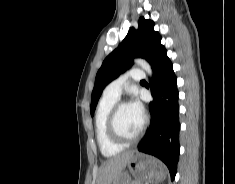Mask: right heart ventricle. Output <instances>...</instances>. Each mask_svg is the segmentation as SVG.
Returning a JSON list of instances; mask_svg holds the SVG:
<instances>
[{
  "instance_id": "obj_1",
  "label": "right heart ventricle",
  "mask_w": 235,
  "mask_h": 184,
  "mask_svg": "<svg viewBox=\"0 0 235 184\" xmlns=\"http://www.w3.org/2000/svg\"><path fill=\"white\" fill-rule=\"evenodd\" d=\"M117 101L118 99L104 95L99 101L94 115L95 137L102 154L106 157L117 155L123 149L122 144L110 137L107 129L108 115Z\"/></svg>"
}]
</instances>
